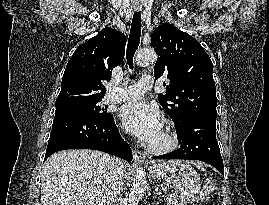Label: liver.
<instances>
[{"mask_svg": "<svg viewBox=\"0 0 269 205\" xmlns=\"http://www.w3.org/2000/svg\"><path fill=\"white\" fill-rule=\"evenodd\" d=\"M111 158L94 150H68L50 156L41 178V205H98Z\"/></svg>", "mask_w": 269, "mask_h": 205, "instance_id": "obj_1", "label": "liver"}]
</instances>
